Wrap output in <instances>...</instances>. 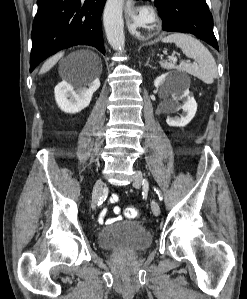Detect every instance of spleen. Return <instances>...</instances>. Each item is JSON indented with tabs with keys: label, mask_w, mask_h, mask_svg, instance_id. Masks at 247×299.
I'll return each instance as SVG.
<instances>
[{
	"label": "spleen",
	"mask_w": 247,
	"mask_h": 299,
	"mask_svg": "<svg viewBox=\"0 0 247 299\" xmlns=\"http://www.w3.org/2000/svg\"><path fill=\"white\" fill-rule=\"evenodd\" d=\"M165 43H175L182 52L189 58L195 60L194 63L181 61L179 65L172 62H160L165 69H177L191 74L207 84L214 82L217 78V65L211 52L199 40L184 33H174L162 39Z\"/></svg>",
	"instance_id": "spleen-1"
}]
</instances>
